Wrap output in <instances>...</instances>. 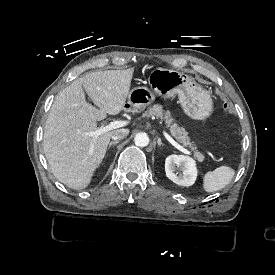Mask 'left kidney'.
I'll return each mask as SVG.
<instances>
[{"label": "left kidney", "instance_id": "5707ae66", "mask_svg": "<svg viewBox=\"0 0 275 275\" xmlns=\"http://www.w3.org/2000/svg\"><path fill=\"white\" fill-rule=\"evenodd\" d=\"M175 166L182 170V175L177 176L174 173ZM165 172L170 180L181 186L193 185L198 173L195 160L184 155L168 156L165 160Z\"/></svg>", "mask_w": 275, "mask_h": 275}]
</instances>
